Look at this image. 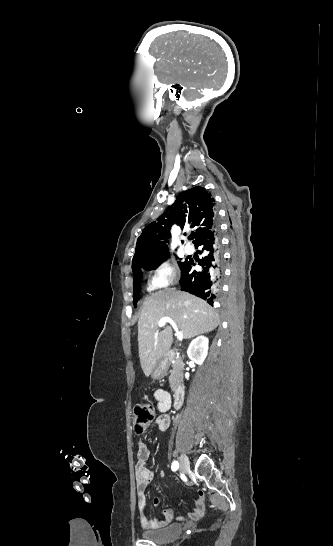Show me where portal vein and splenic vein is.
Instances as JSON below:
<instances>
[{"label": "portal vein and splenic vein", "mask_w": 333, "mask_h": 546, "mask_svg": "<svg viewBox=\"0 0 333 546\" xmlns=\"http://www.w3.org/2000/svg\"><path fill=\"white\" fill-rule=\"evenodd\" d=\"M166 323H169V324L173 327V329H174L175 332H176V333H175V336L177 337V339H178L179 341H182V340H183V334H182L181 331H179V329H178V327H177L175 321H174L173 319H171L170 317H163V318H161V319L159 320V322H158L159 328L164 327V326L166 325Z\"/></svg>", "instance_id": "obj_1"}]
</instances>
